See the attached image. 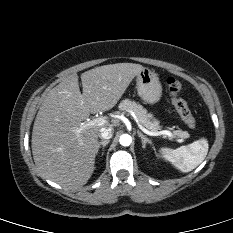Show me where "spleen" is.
<instances>
[{
    "instance_id": "obj_1",
    "label": "spleen",
    "mask_w": 233,
    "mask_h": 233,
    "mask_svg": "<svg viewBox=\"0 0 233 233\" xmlns=\"http://www.w3.org/2000/svg\"><path fill=\"white\" fill-rule=\"evenodd\" d=\"M208 141L205 138L194 141L177 149L161 148L162 157L171 162L178 170L187 173L195 169L208 153Z\"/></svg>"
}]
</instances>
